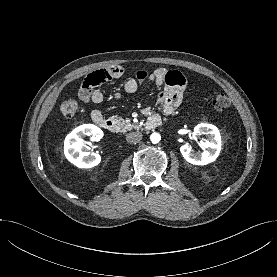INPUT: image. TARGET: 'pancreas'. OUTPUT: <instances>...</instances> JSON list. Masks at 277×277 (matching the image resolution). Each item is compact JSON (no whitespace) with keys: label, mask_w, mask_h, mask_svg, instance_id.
Here are the masks:
<instances>
[{"label":"pancreas","mask_w":277,"mask_h":277,"mask_svg":"<svg viewBox=\"0 0 277 277\" xmlns=\"http://www.w3.org/2000/svg\"><path fill=\"white\" fill-rule=\"evenodd\" d=\"M112 120L119 126L121 132L138 129L140 126L126 122L122 117L115 115L112 116Z\"/></svg>","instance_id":"1"}]
</instances>
